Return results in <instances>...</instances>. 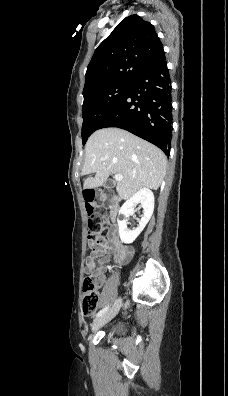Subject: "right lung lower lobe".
Segmentation results:
<instances>
[{
	"instance_id": "1",
	"label": "right lung lower lobe",
	"mask_w": 228,
	"mask_h": 396,
	"mask_svg": "<svg viewBox=\"0 0 228 396\" xmlns=\"http://www.w3.org/2000/svg\"><path fill=\"white\" fill-rule=\"evenodd\" d=\"M171 80L163 47L131 82L117 107L99 129H125L159 147L169 156L172 137Z\"/></svg>"
}]
</instances>
